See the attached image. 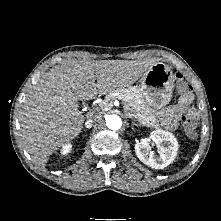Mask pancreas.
Here are the masks:
<instances>
[{
    "instance_id": "pancreas-1",
    "label": "pancreas",
    "mask_w": 221,
    "mask_h": 221,
    "mask_svg": "<svg viewBox=\"0 0 221 221\" xmlns=\"http://www.w3.org/2000/svg\"><path fill=\"white\" fill-rule=\"evenodd\" d=\"M115 99L121 100L124 104V109L132 112L142 125L156 129L159 128L156 117L143 103L137 87H128L110 93L100 104L101 108L109 109Z\"/></svg>"
}]
</instances>
